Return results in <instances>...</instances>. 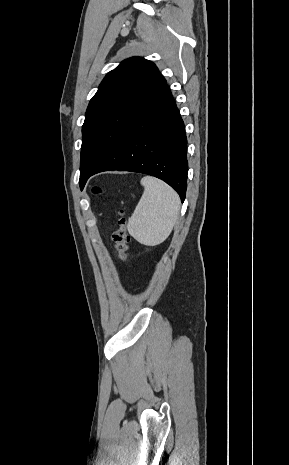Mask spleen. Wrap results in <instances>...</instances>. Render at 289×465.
I'll return each instance as SVG.
<instances>
[{"instance_id": "spleen-1", "label": "spleen", "mask_w": 289, "mask_h": 465, "mask_svg": "<svg viewBox=\"0 0 289 465\" xmlns=\"http://www.w3.org/2000/svg\"><path fill=\"white\" fill-rule=\"evenodd\" d=\"M143 195L128 220L129 234L139 243L155 246L164 242L177 221L178 194L166 183L146 176L141 179Z\"/></svg>"}]
</instances>
